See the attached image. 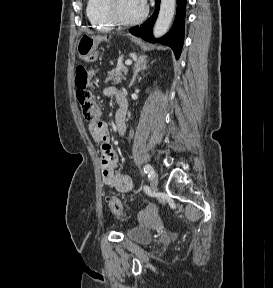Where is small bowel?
Here are the masks:
<instances>
[{"label": "small bowel", "mask_w": 273, "mask_h": 288, "mask_svg": "<svg viewBox=\"0 0 273 288\" xmlns=\"http://www.w3.org/2000/svg\"><path fill=\"white\" fill-rule=\"evenodd\" d=\"M103 94L105 97H115L117 102L119 101V97L123 95L121 91L115 87L105 88ZM115 122L118 133L123 135L126 130V122L118 118V112ZM89 131L99 144L101 171L105 183L118 192H130L133 188V181L129 176L119 172L117 169V155L110 144L107 124L102 121L90 122Z\"/></svg>", "instance_id": "obj_1"}]
</instances>
